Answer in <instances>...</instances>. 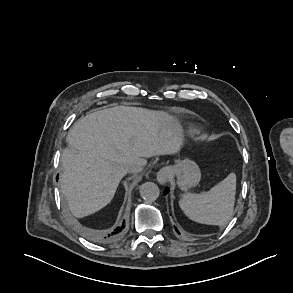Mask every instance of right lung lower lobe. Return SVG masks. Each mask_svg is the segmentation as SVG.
<instances>
[{
	"mask_svg": "<svg viewBox=\"0 0 293 293\" xmlns=\"http://www.w3.org/2000/svg\"><path fill=\"white\" fill-rule=\"evenodd\" d=\"M125 228V222L123 221L122 225L114 229V231L105 237L106 241H114L116 240L121 234L123 229Z\"/></svg>",
	"mask_w": 293,
	"mask_h": 293,
	"instance_id": "1",
	"label": "right lung lower lobe"
}]
</instances>
